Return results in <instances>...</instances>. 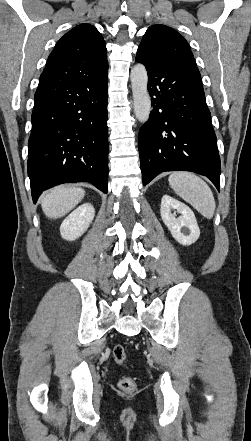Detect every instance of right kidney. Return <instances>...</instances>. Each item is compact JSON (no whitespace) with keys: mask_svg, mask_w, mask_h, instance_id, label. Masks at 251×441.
<instances>
[{"mask_svg":"<svg viewBox=\"0 0 251 441\" xmlns=\"http://www.w3.org/2000/svg\"><path fill=\"white\" fill-rule=\"evenodd\" d=\"M95 215L90 203H85L67 216L60 226L63 239L73 241L79 238L89 227Z\"/></svg>","mask_w":251,"mask_h":441,"instance_id":"ca27d5eb","label":"right kidney"}]
</instances>
